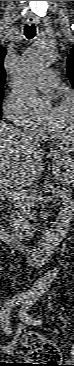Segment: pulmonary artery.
Here are the masks:
<instances>
[{
	"label": "pulmonary artery",
	"mask_w": 74,
	"mask_h": 366,
	"mask_svg": "<svg viewBox=\"0 0 74 366\" xmlns=\"http://www.w3.org/2000/svg\"><path fill=\"white\" fill-rule=\"evenodd\" d=\"M58 73L55 70L48 69L43 71L35 82V86L39 91H51L58 85Z\"/></svg>",
	"instance_id": "obj_1"
}]
</instances>
